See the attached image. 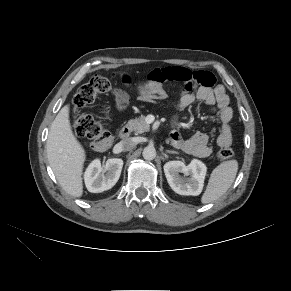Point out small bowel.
I'll use <instances>...</instances> for the list:
<instances>
[{"mask_svg": "<svg viewBox=\"0 0 291 291\" xmlns=\"http://www.w3.org/2000/svg\"><path fill=\"white\" fill-rule=\"evenodd\" d=\"M179 82L182 84L181 95L176 103L178 111L184 110L195 101L204 103L208 110L216 113L221 123L217 137L218 146H229L232 142L230 126L233 111L229 106V97L222 85H215V77L208 71L192 72L184 67L156 68L149 74V82L138 86L139 100L159 101L167 97L164 90L165 82ZM117 108L122 110L129 103V95L119 89L113 91ZM171 143L188 154L197 157H207L211 153L209 136L204 132H197L184 139L179 131L170 133Z\"/></svg>", "mask_w": 291, "mask_h": 291, "instance_id": "small-bowel-1", "label": "small bowel"}]
</instances>
